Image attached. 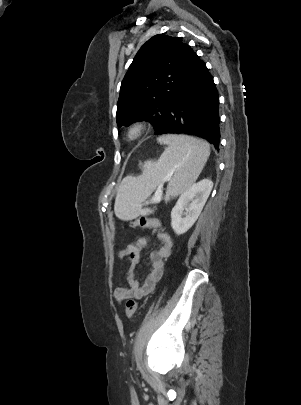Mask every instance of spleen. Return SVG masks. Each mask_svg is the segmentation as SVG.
Instances as JSON below:
<instances>
[{"label":"spleen","instance_id":"1","mask_svg":"<svg viewBox=\"0 0 301 405\" xmlns=\"http://www.w3.org/2000/svg\"><path fill=\"white\" fill-rule=\"evenodd\" d=\"M168 147L157 162L147 161L139 177H125L117 192L114 211L121 220L141 213L142 203L156 186L169 177L168 194L178 196L198 178L210 155L207 142L185 135H165L157 139Z\"/></svg>","mask_w":301,"mask_h":405}]
</instances>
